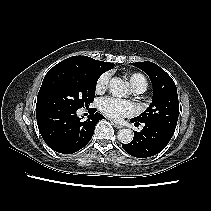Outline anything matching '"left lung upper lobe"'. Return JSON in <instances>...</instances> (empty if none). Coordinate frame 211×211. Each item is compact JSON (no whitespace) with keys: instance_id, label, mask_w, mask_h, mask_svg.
<instances>
[{"instance_id":"5c2ea615","label":"left lung upper lobe","mask_w":211,"mask_h":211,"mask_svg":"<svg viewBox=\"0 0 211 211\" xmlns=\"http://www.w3.org/2000/svg\"><path fill=\"white\" fill-rule=\"evenodd\" d=\"M132 65L148 74L154 89L152 103L141 115L132 120L156 124L174 132L179 115V101L174 81L162 68L152 62L145 61Z\"/></svg>"}]
</instances>
